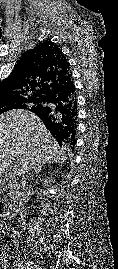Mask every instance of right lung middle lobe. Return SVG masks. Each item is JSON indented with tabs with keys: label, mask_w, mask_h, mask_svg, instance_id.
I'll use <instances>...</instances> for the list:
<instances>
[{
	"label": "right lung middle lobe",
	"mask_w": 118,
	"mask_h": 269,
	"mask_svg": "<svg viewBox=\"0 0 118 269\" xmlns=\"http://www.w3.org/2000/svg\"><path fill=\"white\" fill-rule=\"evenodd\" d=\"M34 105L32 99H24L19 101H4L0 103V114L12 109H27Z\"/></svg>",
	"instance_id": "right-lung-middle-lobe-1"
}]
</instances>
